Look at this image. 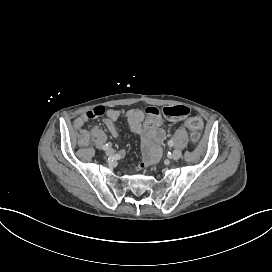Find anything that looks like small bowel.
Masks as SVG:
<instances>
[{
    "label": "small bowel",
    "mask_w": 272,
    "mask_h": 272,
    "mask_svg": "<svg viewBox=\"0 0 272 272\" xmlns=\"http://www.w3.org/2000/svg\"><path fill=\"white\" fill-rule=\"evenodd\" d=\"M145 115H147L146 110L143 111L138 108H131L128 110L109 109L106 113V117L102 119V123L113 137L118 135L116 121L120 116H124L126 118L129 129L132 133L140 135L143 149V161L140 164V168L142 169L158 159L160 155L159 143L166 135L165 130L161 128L162 121L160 118H158L155 126L143 127L142 123L145 119ZM173 120L177 122L180 119ZM75 121L85 123L87 119L85 115H80L75 119Z\"/></svg>",
    "instance_id": "1"
}]
</instances>
